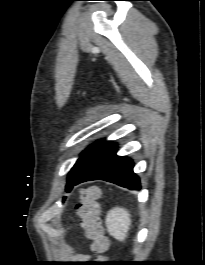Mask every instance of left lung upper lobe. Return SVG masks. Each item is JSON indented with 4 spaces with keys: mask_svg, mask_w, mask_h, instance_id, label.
Masks as SVG:
<instances>
[{
    "mask_svg": "<svg viewBox=\"0 0 205 265\" xmlns=\"http://www.w3.org/2000/svg\"><path fill=\"white\" fill-rule=\"evenodd\" d=\"M110 141L105 142L100 140L90 146L87 150L82 152L80 158L77 160L73 168L71 169L66 185V192L71 191L72 182L83 172V170L94 160L96 159L103 150L110 144Z\"/></svg>",
    "mask_w": 205,
    "mask_h": 265,
    "instance_id": "5c2ea615",
    "label": "left lung upper lobe"
}]
</instances>
